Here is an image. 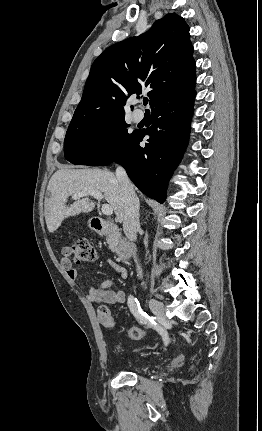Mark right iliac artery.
Masks as SVG:
<instances>
[{"label":"right iliac artery","instance_id":"82829eb1","mask_svg":"<svg viewBox=\"0 0 262 431\" xmlns=\"http://www.w3.org/2000/svg\"><path fill=\"white\" fill-rule=\"evenodd\" d=\"M128 306H129L130 311L132 312V314L138 320V322H140L141 324L152 326L154 328L156 327V322L154 320L155 317L149 316L146 312H144L141 309L139 301L137 300V298H134L133 296H129V298H128ZM159 332H160L161 336L163 337V340H164L165 344L167 345L169 340L164 335L163 330H160Z\"/></svg>","mask_w":262,"mask_h":431}]
</instances>
